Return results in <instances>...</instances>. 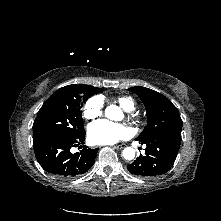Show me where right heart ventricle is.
Returning a JSON list of instances; mask_svg holds the SVG:
<instances>
[{
  "instance_id": "e07e8e85",
  "label": "right heart ventricle",
  "mask_w": 221,
  "mask_h": 221,
  "mask_svg": "<svg viewBox=\"0 0 221 221\" xmlns=\"http://www.w3.org/2000/svg\"><path fill=\"white\" fill-rule=\"evenodd\" d=\"M117 101L126 111H132L135 108V101L130 96H119Z\"/></svg>"
}]
</instances>
